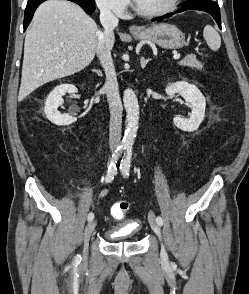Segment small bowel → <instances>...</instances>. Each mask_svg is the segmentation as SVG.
Wrapping results in <instances>:
<instances>
[{
	"label": "small bowel",
	"instance_id": "1",
	"mask_svg": "<svg viewBox=\"0 0 249 294\" xmlns=\"http://www.w3.org/2000/svg\"><path fill=\"white\" fill-rule=\"evenodd\" d=\"M108 194H109L108 189H103V190L99 193L98 198H99V199H103V198H105ZM112 209H113V207H112ZM112 209H111V213H112ZM112 215H113V213H112ZM113 217H114V215H113ZM114 218H116V217H114Z\"/></svg>",
	"mask_w": 249,
	"mask_h": 294
}]
</instances>
